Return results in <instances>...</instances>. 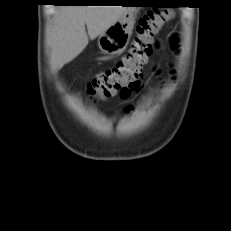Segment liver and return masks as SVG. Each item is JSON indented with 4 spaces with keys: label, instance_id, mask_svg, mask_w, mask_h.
<instances>
[{
    "label": "liver",
    "instance_id": "1",
    "mask_svg": "<svg viewBox=\"0 0 231 231\" xmlns=\"http://www.w3.org/2000/svg\"><path fill=\"white\" fill-rule=\"evenodd\" d=\"M132 7L122 6H62L54 17L49 34L50 65L61 69L76 58L91 40L102 34ZM85 25L87 26L88 35Z\"/></svg>",
    "mask_w": 231,
    "mask_h": 231
}]
</instances>
